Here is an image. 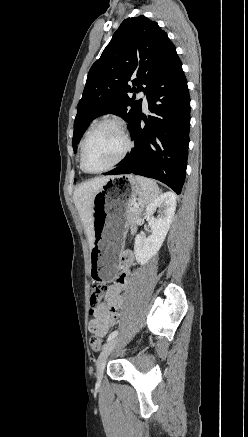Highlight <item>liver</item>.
<instances>
[{"label":"liver","mask_w":248,"mask_h":437,"mask_svg":"<svg viewBox=\"0 0 248 437\" xmlns=\"http://www.w3.org/2000/svg\"><path fill=\"white\" fill-rule=\"evenodd\" d=\"M110 178L111 176H102L81 183L73 193V200L85 227L90 249L93 246L94 196Z\"/></svg>","instance_id":"6515ba94"}]
</instances>
